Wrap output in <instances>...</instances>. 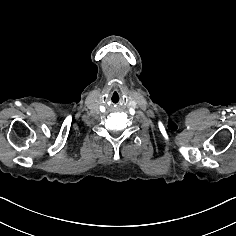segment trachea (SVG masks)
<instances>
[{"label": "trachea", "mask_w": 236, "mask_h": 236, "mask_svg": "<svg viewBox=\"0 0 236 236\" xmlns=\"http://www.w3.org/2000/svg\"><path fill=\"white\" fill-rule=\"evenodd\" d=\"M121 98H122V93H121V91H119V90H114V91H112V93H111L110 102H111L112 104H117V103L119 102V100H121Z\"/></svg>", "instance_id": "3493384b"}]
</instances>
